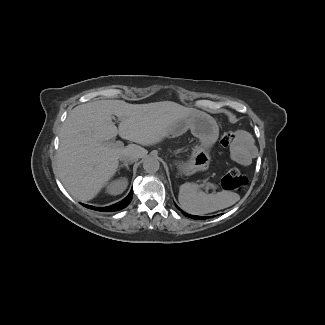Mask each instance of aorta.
I'll return each mask as SVG.
<instances>
[{
	"label": "aorta",
	"instance_id": "aorta-1",
	"mask_svg": "<svg viewBox=\"0 0 325 325\" xmlns=\"http://www.w3.org/2000/svg\"><path fill=\"white\" fill-rule=\"evenodd\" d=\"M160 163L154 156H147L143 160V168L147 173H156L159 170Z\"/></svg>",
	"mask_w": 325,
	"mask_h": 325
}]
</instances>
